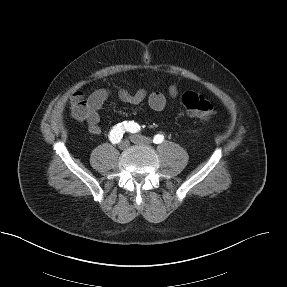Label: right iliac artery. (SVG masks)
<instances>
[{
	"mask_svg": "<svg viewBox=\"0 0 287 287\" xmlns=\"http://www.w3.org/2000/svg\"><path fill=\"white\" fill-rule=\"evenodd\" d=\"M127 124L128 122L124 121L123 123H119L112 128V130L109 133V139L112 143L116 144L121 141L125 130H127L126 128ZM137 128H138L137 130H139L140 126L138 125Z\"/></svg>",
	"mask_w": 287,
	"mask_h": 287,
	"instance_id": "1",
	"label": "right iliac artery"
}]
</instances>
